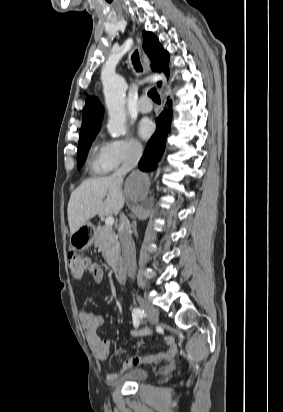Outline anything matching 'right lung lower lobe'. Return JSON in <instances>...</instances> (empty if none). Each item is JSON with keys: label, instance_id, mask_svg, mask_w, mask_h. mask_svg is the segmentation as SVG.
I'll return each instance as SVG.
<instances>
[{"label": "right lung lower lobe", "instance_id": "1", "mask_svg": "<svg viewBox=\"0 0 283 412\" xmlns=\"http://www.w3.org/2000/svg\"><path fill=\"white\" fill-rule=\"evenodd\" d=\"M172 113V102L168 101L167 107L156 119V132L146 146L138 164L139 169L151 171L157 167V162L160 160L165 149L167 135L170 132Z\"/></svg>", "mask_w": 283, "mask_h": 412}]
</instances>
